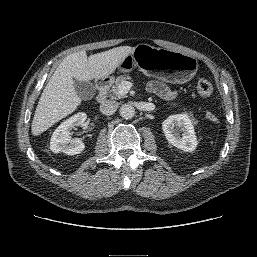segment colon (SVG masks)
Returning <instances> with one entry per match:
<instances>
[{
    "instance_id": "colon-1",
    "label": "colon",
    "mask_w": 257,
    "mask_h": 257,
    "mask_svg": "<svg viewBox=\"0 0 257 257\" xmlns=\"http://www.w3.org/2000/svg\"><path fill=\"white\" fill-rule=\"evenodd\" d=\"M196 89L197 93L203 98L209 97L213 92V86L208 80H200ZM206 118L212 123L218 122V117L213 112H207Z\"/></svg>"
}]
</instances>
